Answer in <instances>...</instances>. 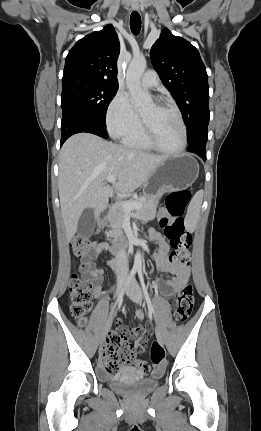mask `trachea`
<instances>
[{"instance_id": "1", "label": "trachea", "mask_w": 261, "mask_h": 431, "mask_svg": "<svg viewBox=\"0 0 261 431\" xmlns=\"http://www.w3.org/2000/svg\"><path fill=\"white\" fill-rule=\"evenodd\" d=\"M130 27L134 35H138L141 29V17L137 11H133L130 16Z\"/></svg>"}]
</instances>
